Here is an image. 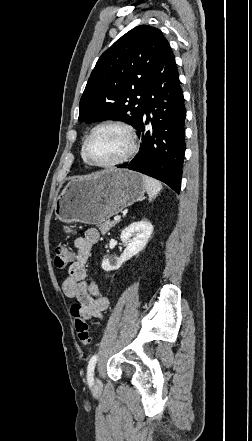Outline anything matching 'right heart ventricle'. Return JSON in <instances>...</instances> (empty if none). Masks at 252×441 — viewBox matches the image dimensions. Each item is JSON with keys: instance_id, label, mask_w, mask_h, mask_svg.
I'll list each match as a JSON object with an SVG mask.
<instances>
[{"instance_id": "1", "label": "right heart ventricle", "mask_w": 252, "mask_h": 441, "mask_svg": "<svg viewBox=\"0 0 252 441\" xmlns=\"http://www.w3.org/2000/svg\"><path fill=\"white\" fill-rule=\"evenodd\" d=\"M81 158H82L84 164L89 165V164L85 161V159H84V157H83V155H82V149H81Z\"/></svg>"}]
</instances>
